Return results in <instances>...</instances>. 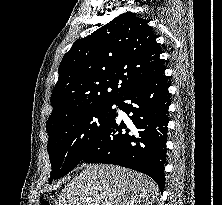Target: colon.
<instances>
[{
    "label": "colon",
    "mask_w": 222,
    "mask_h": 205,
    "mask_svg": "<svg viewBox=\"0 0 222 205\" xmlns=\"http://www.w3.org/2000/svg\"><path fill=\"white\" fill-rule=\"evenodd\" d=\"M41 205H50L48 202H44Z\"/></svg>",
    "instance_id": "5ec220e1"
}]
</instances>
